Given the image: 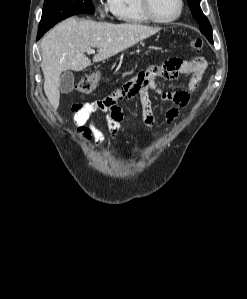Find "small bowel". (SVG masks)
Segmentation results:
<instances>
[{"instance_id":"c3829d8e","label":"small bowel","mask_w":247,"mask_h":299,"mask_svg":"<svg viewBox=\"0 0 247 299\" xmlns=\"http://www.w3.org/2000/svg\"><path fill=\"white\" fill-rule=\"evenodd\" d=\"M205 68L206 62L202 57L191 60L169 59L162 66H151L138 73L101 100L73 105L72 119L77 134L84 140H93L99 146H105V136L97 126V115L102 113L112 136L118 138L123 120L120 103L133 98L139 100L144 124L149 128L154 127L156 116L151 92L160 96L166 120L172 124L178 116L179 109L189 104L191 94L199 86ZM179 75L188 77L187 90L163 91L158 87L159 78L171 81Z\"/></svg>"}]
</instances>
